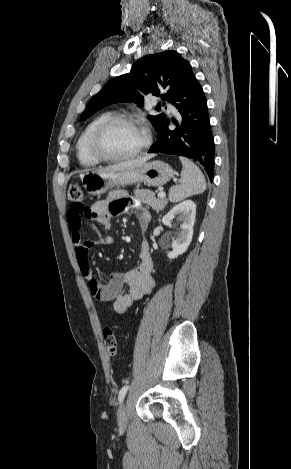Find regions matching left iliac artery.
<instances>
[{
    "mask_svg": "<svg viewBox=\"0 0 291 469\" xmlns=\"http://www.w3.org/2000/svg\"><path fill=\"white\" fill-rule=\"evenodd\" d=\"M129 386L128 385H125L121 388L120 392H119V402H122V400L124 399L126 393H127V390H128Z\"/></svg>",
    "mask_w": 291,
    "mask_h": 469,
    "instance_id": "obj_1",
    "label": "left iliac artery"
}]
</instances>
